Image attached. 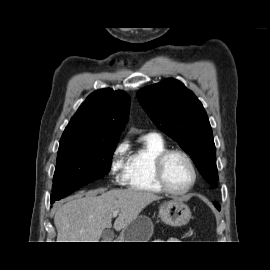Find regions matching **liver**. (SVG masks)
Here are the masks:
<instances>
[{
	"label": "liver",
	"mask_w": 270,
	"mask_h": 270,
	"mask_svg": "<svg viewBox=\"0 0 270 270\" xmlns=\"http://www.w3.org/2000/svg\"><path fill=\"white\" fill-rule=\"evenodd\" d=\"M160 199L154 193L136 189L94 190L77 195L55 213L57 242H99L103 230L112 226L114 211L119 215L113 227L120 231L147 205Z\"/></svg>",
	"instance_id": "6515ba94"
}]
</instances>
